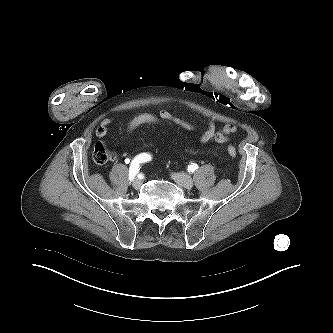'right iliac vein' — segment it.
Segmentation results:
<instances>
[{
	"label": "right iliac vein",
	"instance_id": "1",
	"mask_svg": "<svg viewBox=\"0 0 333 333\" xmlns=\"http://www.w3.org/2000/svg\"><path fill=\"white\" fill-rule=\"evenodd\" d=\"M133 187L136 188V189H139L142 185V181L139 179V178H136L134 181H133Z\"/></svg>",
	"mask_w": 333,
	"mask_h": 333
}]
</instances>
